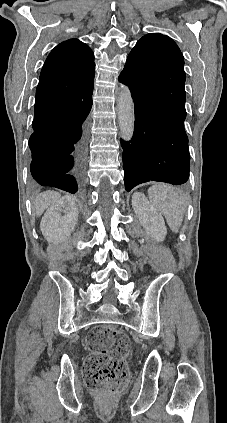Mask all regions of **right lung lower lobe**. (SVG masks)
Masks as SVG:
<instances>
[{
    "label": "right lung lower lobe",
    "instance_id": "1",
    "mask_svg": "<svg viewBox=\"0 0 227 423\" xmlns=\"http://www.w3.org/2000/svg\"><path fill=\"white\" fill-rule=\"evenodd\" d=\"M92 95L61 101L36 98L34 131L29 140L31 174L41 186L72 194L78 190L86 157V118Z\"/></svg>",
    "mask_w": 227,
    "mask_h": 423
}]
</instances>
